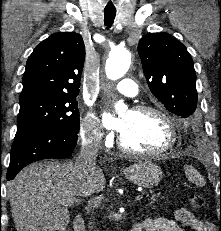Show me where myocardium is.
Returning a JSON list of instances; mask_svg holds the SVG:
<instances>
[{
	"instance_id": "f54148a6",
	"label": "myocardium",
	"mask_w": 221,
	"mask_h": 231,
	"mask_svg": "<svg viewBox=\"0 0 221 231\" xmlns=\"http://www.w3.org/2000/svg\"><path fill=\"white\" fill-rule=\"evenodd\" d=\"M131 111L134 113H153V114L160 116L167 123L169 127L170 141L162 149L154 150V151H144V150L133 149V148L126 146L123 143V140L120 134L117 139V145L123 152L131 154V155H137V156L160 157V156L167 154L168 152H170L176 147L177 140H178L177 126L175 124L173 117L167 111L159 107L151 106V105H137V106H134L131 109Z\"/></svg>"
}]
</instances>
